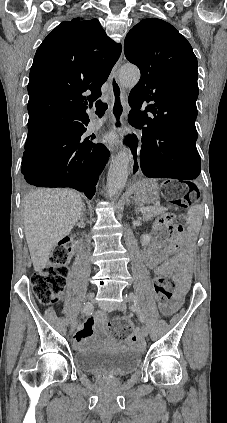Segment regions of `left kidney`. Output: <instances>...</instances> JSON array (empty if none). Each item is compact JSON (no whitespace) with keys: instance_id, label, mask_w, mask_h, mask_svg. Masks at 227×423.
<instances>
[{"instance_id":"obj_1","label":"left kidney","mask_w":227,"mask_h":423,"mask_svg":"<svg viewBox=\"0 0 227 423\" xmlns=\"http://www.w3.org/2000/svg\"><path fill=\"white\" fill-rule=\"evenodd\" d=\"M151 237H152V235H150V233H143V235H141L142 245H147V243H149Z\"/></svg>"}]
</instances>
